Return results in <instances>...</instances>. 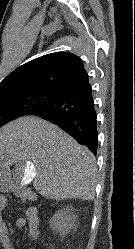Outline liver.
Masks as SVG:
<instances>
[{"label":"liver","mask_w":135,"mask_h":249,"mask_svg":"<svg viewBox=\"0 0 135 249\" xmlns=\"http://www.w3.org/2000/svg\"><path fill=\"white\" fill-rule=\"evenodd\" d=\"M32 162L34 189L53 200L95 198L96 159L58 126L24 116L0 128V168ZM27 179H29L27 181Z\"/></svg>","instance_id":"1"}]
</instances>
